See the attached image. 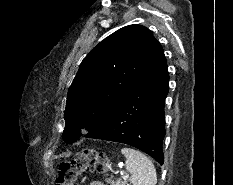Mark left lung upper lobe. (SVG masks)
Instances as JSON below:
<instances>
[{
	"label": "left lung upper lobe",
	"mask_w": 233,
	"mask_h": 185,
	"mask_svg": "<svg viewBox=\"0 0 233 185\" xmlns=\"http://www.w3.org/2000/svg\"><path fill=\"white\" fill-rule=\"evenodd\" d=\"M164 57L152 32L141 25L125 26L83 59L67 95L63 140L75 142L81 129L101 126L125 93Z\"/></svg>",
	"instance_id": "1"
}]
</instances>
